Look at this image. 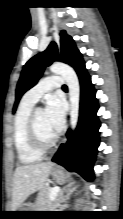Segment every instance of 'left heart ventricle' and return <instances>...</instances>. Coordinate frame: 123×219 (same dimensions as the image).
Listing matches in <instances>:
<instances>
[{
  "label": "left heart ventricle",
  "mask_w": 123,
  "mask_h": 219,
  "mask_svg": "<svg viewBox=\"0 0 123 219\" xmlns=\"http://www.w3.org/2000/svg\"><path fill=\"white\" fill-rule=\"evenodd\" d=\"M36 127L40 138L44 142H50L56 136L54 131L50 128L46 120L44 111L42 110L36 111Z\"/></svg>",
  "instance_id": "obj_1"
}]
</instances>
